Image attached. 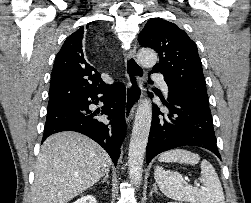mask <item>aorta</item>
Wrapping results in <instances>:
<instances>
[{
	"label": "aorta",
	"instance_id": "aorta-1",
	"mask_svg": "<svg viewBox=\"0 0 251 203\" xmlns=\"http://www.w3.org/2000/svg\"><path fill=\"white\" fill-rule=\"evenodd\" d=\"M138 60L142 66L151 68L157 62V54L152 49L143 48L138 53ZM151 120V103L149 100L143 99L136 111L128 152L129 176L131 181L136 185L140 184L142 180L144 156Z\"/></svg>",
	"mask_w": 251,
	"mask_h": 203
}]
</instances>
